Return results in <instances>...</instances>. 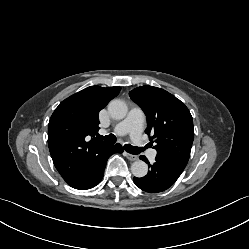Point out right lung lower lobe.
Here are the masks:
<instances>
[{
	"instance_id": "1",
	"label": "right lung lower lobe",
	"mask_w": 249,
	"mask_h": 249,
	"mask_svg": "<svg viewBox=\"0 0 249 249\" xmlns=\"http://www.w3.org/2000/svg\"><path fill=\"white\" fill-rule=\"evenodd\" d=\"M122 153L120 144L104 145L97 149L88 164L80 172L77 178L69 185L75 189L86 190L96 186L102 179L108 158L113 153Z\"/></svg>"
}]
</instances>
